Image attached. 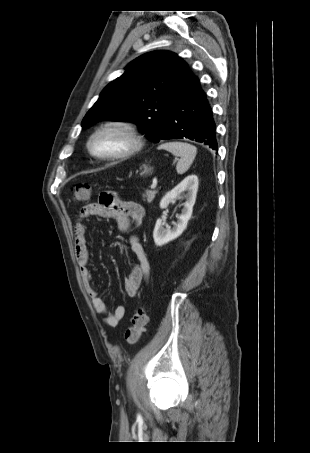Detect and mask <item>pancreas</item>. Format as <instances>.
Instances as JSON below:
<instances>
[{
  "mask_svg": "<svg viewBox=\"0 0 310 453\" xmlns=\"http://www.w3.org/2000/svg\"><path fill=\"white\" fill-rule=\"evenodd\" d=\"M158 193L157 190H146L145 193L143 194V201H147L148 203H152L155 195Z\"/></svg>",
  "mask_w": 310,
  "mask_h": 453,
  "instance_id": "obj_1",
  "label": "pancreas"
}]
</instances>
